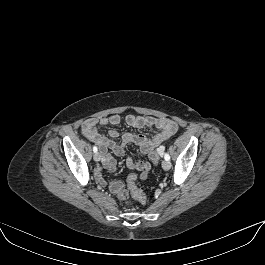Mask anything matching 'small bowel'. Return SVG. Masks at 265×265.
<instances>
[{
    "label": "small bowel",
    "mask_w": 265,
    "mask_h": 265,
    "mask_svg": "<svg viewBox=\"0 0 265 265\" xmlns=\"http://www.w3.org/2000/svg\"><path fill=\"white\" fill-rule=\"evenodd\" d=\"M126 123L135 128H155L157 132L153 136H144L134 133H125L122 136V142L116 143L113 139L119 136V132L115 129L109 131L108 139L102 135L98 130V126L118 125L121 123V117L119 115H110L101 118H91L83 122L81 130L82 134L89 141L97 144L102 150V164L110 171H114L116 162L113 156L106 151L109 149L115 155H124V146L127 144H135L138 146L141 154L150 155L151 152L171 138L178 130V125L167 118H160L154 116H140V115H128L126 117ZM126 165L131 170L140 172V179L145 180L151 169V165L147 161L134 160L131 157L126 158ZM95 176L97 181L101 185H105L102 178L101 169L95 170Z\"/></svg>",
    "instance_id": "small-bowel-1"
}]
</instances>
